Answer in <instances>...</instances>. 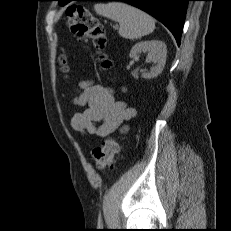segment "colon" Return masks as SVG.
I'll return each mask as SVG.
<instances>
[{
  "label": "colon",
  "instance_id": "1",
  "mask_svg": "<svg viewBox=\"0 0 231 231\" xmlns=\"http://www.w3.org/2000/svg\"><path fill=\"white\" fill-rule=\"evenodd\" d=\"M66 15L71 32L79 38L90 40L100 53L101 65L108 69L111 61L103 53L107 44V38L103 26L98 19L84 6L71 4L67 7ZM62 70L68 71L67 61L63 58ZM119 153V145L113 138H107L92 151L94 163L98 169H105L112 165Z\"/></svg>",
  "mask_w": 231,
  "mask_h": 231
}]
</instances>
